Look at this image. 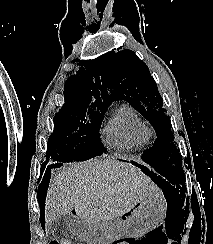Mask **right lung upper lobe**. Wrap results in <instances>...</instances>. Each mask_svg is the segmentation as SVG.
I'll return each mask as SVG.
<instances>
[{"label": "right lung upper lobe", "mask_w": 213, "mask_h": 244, "mask_svg": "<svg viewBox=\"0 0 213 244\" xmlns=\"http://www.w3.org/2000/svg\"><path fill=\"white\" fill-rule=\"evenodd\" d=\"M93 65L81 67L76 75H72L65 83L63 108L85 107L94 110H105L110 105L96 89L93 82L95 74Z\"/></svg>", "instance_id": "1"}]
</instances>
